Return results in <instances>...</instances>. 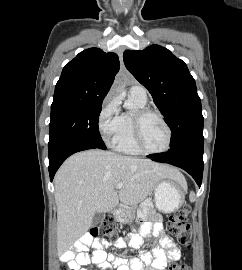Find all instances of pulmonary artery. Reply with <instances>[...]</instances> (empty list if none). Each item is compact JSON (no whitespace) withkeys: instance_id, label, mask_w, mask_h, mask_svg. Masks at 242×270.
<instances>
[{"instance_id":"pulmonary-artery-1","label":"pulmonary artery","mask_w":242,"mask_h":270,"mask_svg":"<svg viewBox=\"0 0 242 270\" xmlns=\"http://www.w3.org/2000/svg\"><path fill=\"white\" fill-rule=\"evenodd\" d=\"M129 96L137 101L146 102L147 100V92L146 89L142 85H133L129 89Z\"/></svg>"}]
</instances>
